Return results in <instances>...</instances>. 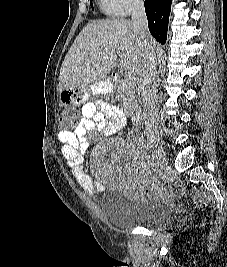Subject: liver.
Segmentation results:
<instances>
[{
    "instance_id": "6515ba94",
    "label": "liver",
    "mask_w": 227,
    "mask_h": 267,
    "mask_svg": "<svg viewBox=\"0 0 227 267\" xmlns=\"http://www.w3.org/2000/svg\"><path fill=\"white\" fill-rule=\"evenodd\" d=\"M148 44L156 42L149 36ZM144 46L132 21L116 18L88 23L69 49L60 70L62 87H84L103 81L119 62L120 69L139 77Z\"/></svg>"
}]
</instances>
